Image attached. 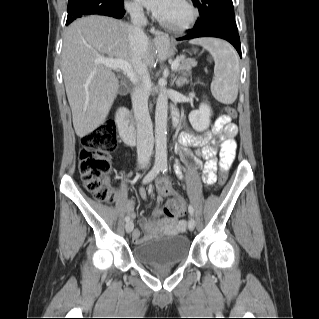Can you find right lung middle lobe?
<instances>
[{"mask_svg": "<svg viewBox=\"0 0 319 319\" xmlns=\"http://www.w3.org/2000/svg\"><path fill=\"white\" fill-rule=\"evenodd\" d=\"M122 2L123 0H69L66 25L82 16L112 10L114 7L122 4Z\"/></svg>", "mask_w": 319, "mask_h": 319, "instance_id": "1", "label": "right lung middle lobe"}]
</instances>
